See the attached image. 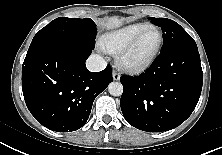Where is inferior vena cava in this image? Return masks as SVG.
<instances>
[{
  "mask_svg": "<svg viewBox=\"0 0 222 155\" xmlns=\"http://www.w3.org/2000/svg\"><path fill=\"white\" fill-rule=\"evenodd\" d=\"M87 69L91 72H99L106 68V61L97 54H92L86 61Z\"/></svg>",
  "mask_w": 222,
  "mask_h": 155,
  "instance_id": "inferior-vena-cava-1",
  "label": "inferior vena cava"
}]
</instances>
